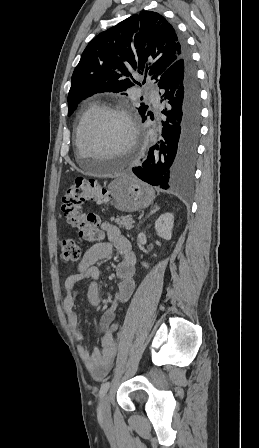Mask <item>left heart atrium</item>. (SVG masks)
I'll list each match as a JSON object with an SVG mask.
<instances>
[{
    "label": "left heart atrium",
    "instance_id": "1",
    "mask_svg": "<svg viewBox=\"0 0 259 448\" xmlns=\"http://www.w3.org/2000/svg\"><path fill=\"white\" fill-rule=\"evenodd\" d=\"M147 157H148V158H151V157H152V153H151V151H148V152H147Z\"/></svg>",
    "mask_w": 259,
    "mask_h": 448
}]
</instances>
